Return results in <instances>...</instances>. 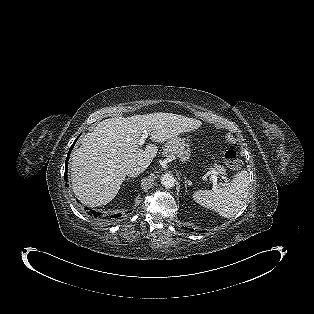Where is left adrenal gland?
<instances>
[{
    "label": "left adrenal gland",
    "mask_w": 314,
    "mask_h": 314,
    "mask_svg": "<svg viewBox=\"0 0 314 314\" xmlns=\"http://www.w3.org/2000/svg\"><path fill=\"white\" fill-rule=\"evenodd\" d=\"M190 185V183H188V180H186L185 178V188H186V192H187V186Z\"/></svg>",
    "instance_id": "1"
}]
</instances>
